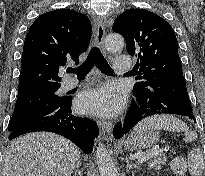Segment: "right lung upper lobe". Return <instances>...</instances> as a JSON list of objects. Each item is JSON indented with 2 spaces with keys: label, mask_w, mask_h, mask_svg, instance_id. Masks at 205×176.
Wrapping results in <instances>:
<instances>
[{
  "label": "right lung upper lobe",
  "mask_w": 205,
  "mask_h": 176,
  "mask_svg": "<svg viewBox=\"0 0 205 176\" xmlns=\"http://www.w3.org/2000/svg\"><path fill=\"white\" fill-rule=\"evenodd\" d=\"M90 36V20L76 11L58 9L38 17L24 42L18 97L60 86V66L71 59L78 63Z\"/></svg>",
  "instance_id": "obj_1"
}]
</instances>
